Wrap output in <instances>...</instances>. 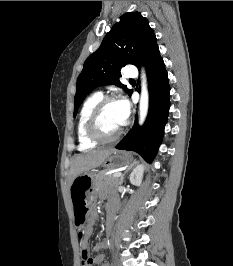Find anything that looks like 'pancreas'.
<instances>
[{
	"mask_svg": "<svg viewBox=\"0 0 233 266\" xmlns=\"http://www.w3.org/2000/svg\"><path fill=\"white\" fill-rule=\"evenodd\" d=\"M119 184V178L113 177V174L105 176L104 173H98L94 180V186L97 190H102L106 187H116Z\"/></svg>",
	"mask_w": 233,
	"mask_h": 266,
	"instance_id": "1",
	"label": "pancreas"
}]
</instances>
